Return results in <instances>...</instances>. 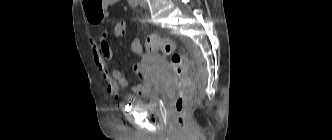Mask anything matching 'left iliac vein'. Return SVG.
Masks as SVG:
<instances>
[{
    "label": "left iliac vein",
    "mask_w": 332,
    "mask_h": 140,
    "mask_svg": "<svg viewBox=\"0 0 332 140\" xmlns=\"http://www.w3.org/2000/svg\"><path fill=\"white\" fill-rule=\"evenodd\" d=\"M139 3H140V6H141L142 8H145V7H146V2H145V0H139Z\"/></svg>",
    "instance_id": "left-iliac-vein-1"
}]
</instances>
